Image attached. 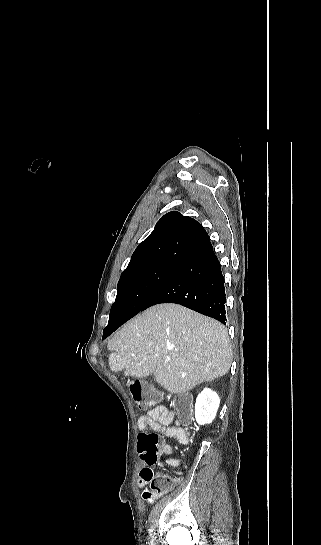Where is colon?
<instances>
[{
	"label": "colon",
	"instance_id": "1",
	"mask_svg": "<svg viewBox=\"0 0 321 545\" xmlns=\"http://www.w3.org/2000/svg\"><path fill=\"white\" fill-rule=\"evenodd\" d=\"M132 399L140 409L149 410L158 401L156 390L143 381L132 380L128 382ZM180 411L182 421L190 419V407L187 399H179L175 402ZM160 437L156 433H142L139 436V450L147 460H154L159 450ZM178 483L177 477L159 474L149 478V487L143 491V498L149 502L154 501L166 492L170 491Z\"/></svg>",
	"mask_w": 321,
	"mask_h": 545
}]
</instances>
